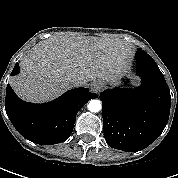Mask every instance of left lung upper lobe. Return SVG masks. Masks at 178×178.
<instances>
[{"instance_id":"1","label":"left lung upper lobe","mask_w":178,"mask_h":178,"mask_svg":"<svg viewBox=\"0 0 178 178\" xmlns=\"http://www.w3.org/2000/svg\"><path fill=\"white\" fill-rule=\"evenodd\" d=\"M146 52H144L143 50H141V48H138L137 49V52H136V55H143L145 54Z\"/></svg>"}]
</instances>
